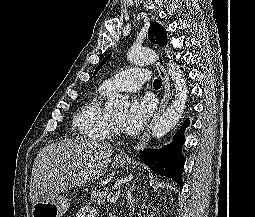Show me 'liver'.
<instances>
[{
	"label": "liver",
	"mask_w": 255,
	"mask_h": 217,
	"mask_svg": "<svg viewBox=\"0 0 255 217\" xmlns=\"http://www.w3.org/2000/svg\"><path fill=\"white\" fill-rule=\"evenodd\" d=\"M112 153L113 148L106 143L83 139L45 146L33 164L29 193L32 204L101 177Z\"/></svg>",
	"instance_id": "liver-1"
}]
</instances>
